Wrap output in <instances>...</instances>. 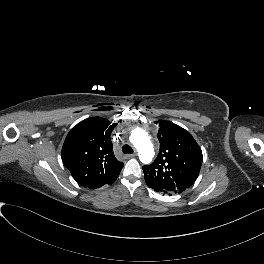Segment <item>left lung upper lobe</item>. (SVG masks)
<instances>
[{"instance_id":"1","label":"left lung upper lobe","mask_w":264,"mask_h":264,"mask_svg":"<svg viewBox=\"0 0 264 264\" xmlns=\"http://www.w3.org/2000/svg\"><path fill=\"white\" fill-rule=\"evenodd\" d=\"M160 150L156 160L142 167L147 184L170 193H182L197 179L202 151L192 135L168 121H159Z\"/></svg>"}]
</instances>
